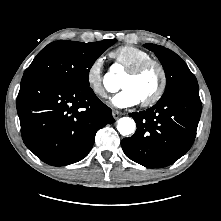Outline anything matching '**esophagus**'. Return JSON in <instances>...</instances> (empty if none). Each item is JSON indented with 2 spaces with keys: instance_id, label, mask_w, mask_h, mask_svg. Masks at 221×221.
I'll use <instances>...</instances> for the list:
<instances>
[{
  "instance_id": "34e87169",
  "label": "esophagus",
  "mask_w": 221,
  "mask_h": 221,
  "mask_svg": "<svg viewBox=\"0 0 221 221\" xmlns=\"http://www.w3.org/2000/svg\"><path fill=\"white\" fill-rule=\"evenodd\" d=\"M112 115H113L114 119H118L122 115V112H120L118 110H113Z\"/></svg>"
}]
</instances>
